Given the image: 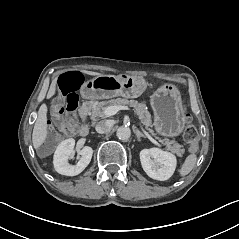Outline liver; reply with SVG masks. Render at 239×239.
<instances>
[{
  "mask_svg": "<svg viewBox=\"0 0 239 239\" xmlns=\"http://www.w3.org/2000/svg\"><path fill=\"white\" fill-rule=\"evenodd\" d=\"M82 73L88 75H100L97 72L82 70ZM57 78H54L51 82L50 88L47 93V99L51 98L56 91ZM47 137V106L42 104L38 111V118L35 122L33 133H32V142L35 149H38L45 141Z\"/></svg>",
  "mask_w": 239,
  "mask_h": 239,
  "instance_id": "liver-1",
  "label": "liver"
}]
</instances>
